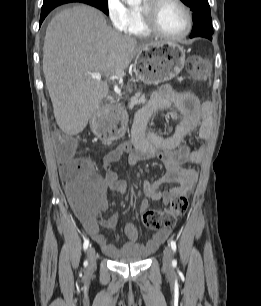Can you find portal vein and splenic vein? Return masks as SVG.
<instances>
[{"label":"portal vein and splenic vein","mask_w":261,"mask_h":306,"mask_svg":"<svg viewBox=\"0 0 261 306\" xmlns=\"http://www.w3.org/2000/svg\"><path fill=\"white\" fill-rule=\"evenodd\" d=\"M124 76V72L122 71H119L117 73H115V75L111 76L112 78H118V77H122ZM92 78H96L98 80L101 79V76L99 74H92Z\"/></svg>","instance_id":"portal-vein-and-splenic-vein-1"}]
</instances>
